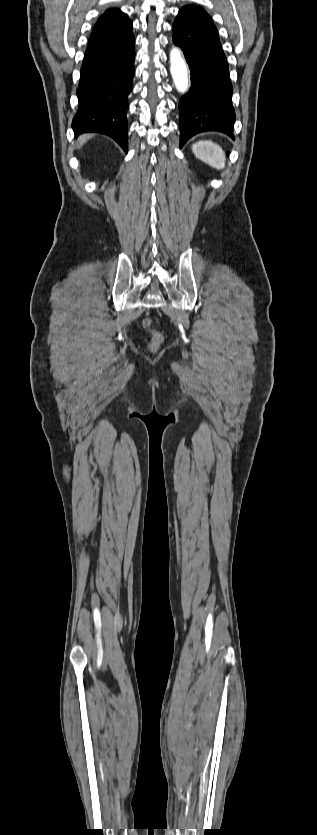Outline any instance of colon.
<instances>
[{
  "label": "colon",
  "instance_id": "obj_1",
  "mask_svg": "<svg viewBox=\"0 0 317 835\" xmlns=\"http://www.w3.org/2000/svg\"><path fill=\"white\" fill-rule=\"evenodd\" d=\"M143 327L149 331L151 338V347L156 348L164 341V336L161 332L153 329V322L151 318H145L142 322Z\"/></svg>",
  "mask_w": 317,
  "mask_h": 835
}]
</instances>
